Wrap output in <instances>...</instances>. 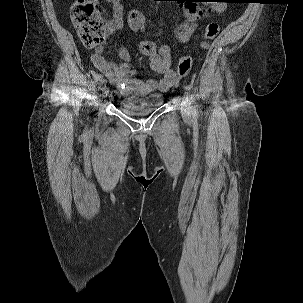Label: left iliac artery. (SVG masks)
<instances>
[{"label":"left iliac artery","instance_id":"left-iliac-artery-1","mask_svg":"<svg viewBox=\"0 0 303 303\" xmlns=\"http://www.w3.org/2000/svg\"><path fill=\"white\" fill-rule=\"evenodd\" d=\"M190 98H191V100L194 102L195 97H194L193 94H191V97H190ZM192 114H193L194 117H197V115H198V110H197L196 106L193 107Z\"/></svg>","mask_w":303,"mask_h":303}]
</instances>
